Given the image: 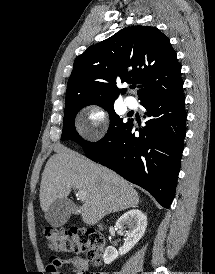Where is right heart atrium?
<instances>
[{
	"instance_id": "d8ad5b80",
	"label": "right heart atrium",
	"mask_w": 215,
	"mask_h": 274,
	"mask_svg": "<svg viewBox=\"0 0 215 274\" xmlns=\"http://www.w3.org/2000/svg\"><path fill=\"white\" fill-rule=\"evenodd\" d=\"M109 129L108 114L103 107L92 104L84 108L78 130L82 137L95 142L101 140Z\"/></svg>"
}]
</instances>
